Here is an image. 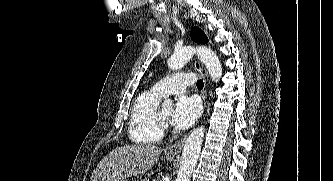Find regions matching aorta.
Masks as SVG:
<instances>
[{
  "mask_svg": "<svg viewBox=\"0 0 333 181\" xmlns=\"http://www.w3.org/2000/svg\"><path fill=\"white\" fill-rule=\"evenodd\" d=\"M196 54L207 68L209 75L214 82H218L222 76V65L217 54L208 47L186 46L176 51L168 59V67L172 70L182 68ZM173 102L166 99L163 103L165 107L172 106ZM204 139V127L194 129L188 136L183 152L180 169L176 181H190L193 170L196 166Z\"/></svg>",
  "mask_w": 333,
  "mask_h": 181,
  "instance_id": "762f6f07",
  "label": "aorta"
}]
</instances>
